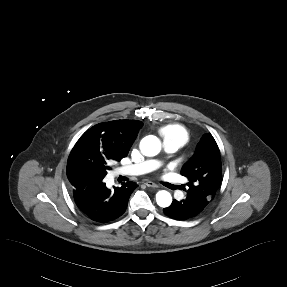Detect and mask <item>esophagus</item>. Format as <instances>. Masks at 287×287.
Instances as JSON below:
<instances>
[{"label": "esophagus", "mask_w": 287, "mask_h": 287, "mask_svg": "<svg viewBox=\"0 0 287 287\" xmlns=\"http://www.w3.org/2000/svg\"><path fill=\"white\" fill-rule=\"evenodd\" d=\"M145 184H146L147 187L158 188V186L155 183L151 182V181H147Z\"/></svg>", "instance_id": "34e87169"}]
</instances>
